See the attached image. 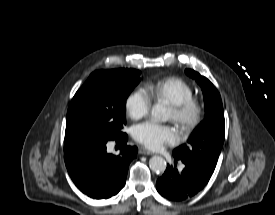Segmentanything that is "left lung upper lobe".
<instances>
[{
    "label": "left lung upper lobe",
    "instance_id": "5c2ea615",
    "mask_svg": "<svg viewBox=\"0 0 275 215\" xmlns=\"http://www.w3.org/2000/svg\"><path fill=\"white\" fill-rule=\"evenodd\" d=\"M186 74L201 86L205 102V119L193 130L187 144L173 151L179 160L193 161L211 168L216 167L225 134V120L220 94L215 86L194 70Z\"/></svg>",
    "mask_w": 275,
    "mask_h": 215
}]
</instances>
